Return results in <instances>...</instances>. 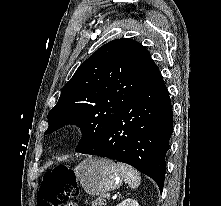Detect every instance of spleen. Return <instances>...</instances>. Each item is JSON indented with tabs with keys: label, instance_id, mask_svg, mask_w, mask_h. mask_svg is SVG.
Returning <instances> with one entry per match:
<instances>
[{
	"label": "spleen",
	"instance_id": "obj_1",
	"mask_svg": "<svg viewBox=\"0 0 221 206\" xmlns=\"http://www.w3.org/2000/svg\"><path fill=\"white\" fill-rule=\"evenodd\" d=\"M118 166L124 175L125 183L132 189L137 188L141 182L140 173L129 165L119 163Z\"/></svg>",
	"mask_w": 221,
	"mask_h": 206
}]
</instances>
